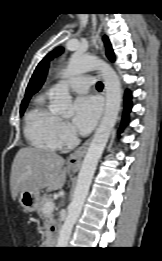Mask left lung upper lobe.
Here are the masks:
<instances>
[{
  "instance_id": "left-lung-upper-lobe-1",
  "label": "left lung upper lobe",
  "mask_w": 162,
  "mask_h": 261,
  "mask_svg": "<svg viewBox=\"0 0 162 261\" xmlns=\"http://www.w3.org/2000/svg\"><path fill=\"white\" fill-rule=\"evenodd\" d=\"M103 40H104V43H105V46H106V55H107V57H108L111 61H114V60H115V56H114V53H113V50H112V47H111V44H110V41H109L108 37H107V36H104V37H103ZM62 52H63V48H62V47H58V48H56L55 50H53L52 52H50V53L38 64V66L36 67V70L34 71V74H33L32 78H31L30 83H29L28 86H30V85L33 84V82H34V80H35V77L37 76L39 70L44 66V64H45L48 60H50V59H52V58L58 56V55L61 54Z\"/></svg>"
}]
</instances>
